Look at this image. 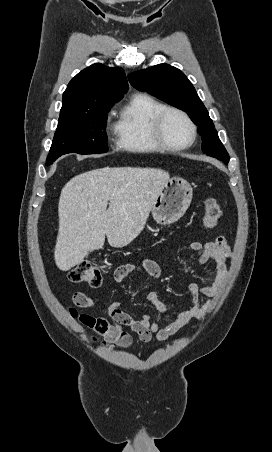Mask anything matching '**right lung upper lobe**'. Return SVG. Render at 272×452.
<instances>
[{"mask_svg": "<svg viewBox=\"0 0 272 452\" xmlns=\"http://www.w3.org/2000/svg\"><path fill=\"white\" fill-rule=\"evenodd\" d=\"M128 90L124 70L100 63L78 73L63 93L60 118L79 116L112 106Z\"/></svg>", "mask_w": 272, "mask_h": 452, "instance_id": "cb5924a9", "label": "right lung upper lobe"}]
</instances>
